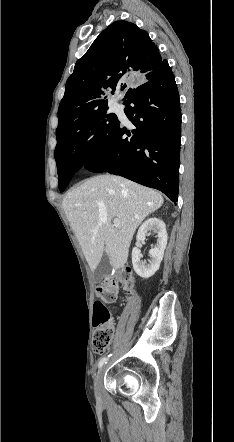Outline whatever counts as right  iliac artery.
<instances>
[{
	"mask_svg": "<svg viewBox=\"0 0 234 442\" xmlns=\"http://www.w3.org/2000/svg\"><path fill=\"white\" fill-rule=\"evenodd\" d=\"M110 356H111V355H108L107 357H103V358H101L100 361H99V363H98V367L101 368L105 363H107V361H108V359H109Z\"/></svg>",
	"mask_w": 234,
	"mask_h": 442,
	"instance_id": "82829eb1",
	"label": "right iliac artery"
}]
</instances>
